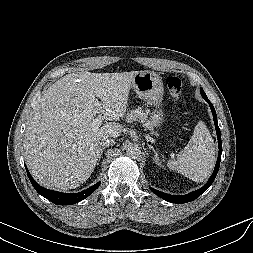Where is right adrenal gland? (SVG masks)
Returning a JSON list of instances; mask_svg holds the SVG:
<instances>
[{"instance_id": "1", "label": "right adrenal gland", "mask_w": 253, "mask_h": 253, "mask_svg": "<svg viewBox=\"0 0 253 253\" xmlns=\"http://www.w3.org/2000/svg\"><path fill=\"white\" fill-rule=\"evenodd\" d=\"M104 149H105V147L101 148V154H100V156H99V160H100V158H101V155H102Z\"/></svg>"}]
</instances>
